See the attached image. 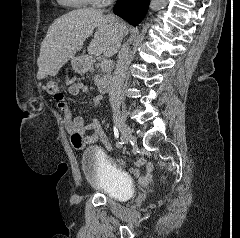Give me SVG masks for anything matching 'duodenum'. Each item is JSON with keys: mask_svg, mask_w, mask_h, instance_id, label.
<instances>
[{"mask_svg": "<svg viewBox=\"0 0 240 238\" xmlns=\"http://www.w3.org/2000/svg\"><path fill=\"white\" fill-rule=\"evenodd\" d=\"M112 82V77L110 75H104L101 79H100V83H99V92L101 94H105L109 91L110 89V85Z\"/></svg>", "mask_w": 240, "mask_h": 238, "instance_id": "410a0bca", "label": "duodenum"}]
</instances>
